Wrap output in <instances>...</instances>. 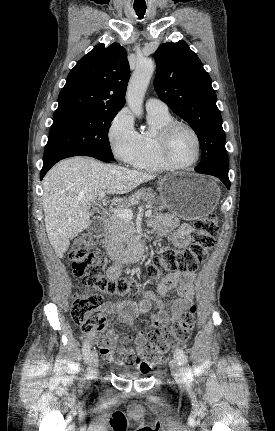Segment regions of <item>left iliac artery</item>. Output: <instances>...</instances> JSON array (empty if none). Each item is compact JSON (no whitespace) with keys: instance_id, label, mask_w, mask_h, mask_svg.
Instances as JSON below:
<instances>
[{"instance_id":"44dca946","label":"left iliac artery","mask_w":275,"mask_h":431,"mask_svg":"<svg viewBox=\"0 0 275 431\" xmlns=\"http://www.w3.org/2000/svg\"><path fill=\"white\" fill-rule=\"evenodd\" d=\"M175 356H176V359H177V361L181 367V370H182L184 376L187 379H190L192 374H191V369L188 365L187 356L185 355V353L181 349L175 350Z\"/></svg>"}]
</instances>
